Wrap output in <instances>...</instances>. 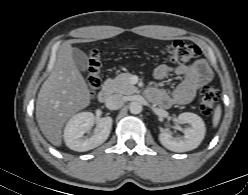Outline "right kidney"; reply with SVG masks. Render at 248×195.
<instances>
[{
    "label": "right kidney",
    "instance_id": "right-kidney-1",
    "mask_svg": "<svg viewBox=\"0 0 248 195\" xmlns=\"http://www.w3.org/2000/svg\"><path fill=\"white\" fill-rule=\"evenodd\" d=\"M112 121V118L109 116L96 120L91 112L75 114L69 119L64 129L63 136L67 147L78 152L98 147L109 137ZM95 122L97 129L91 137H85L84 134L91 129Z\"/></svg>",
    "mask_w": 248,
    "mask_h": 195
}]
</instances>
